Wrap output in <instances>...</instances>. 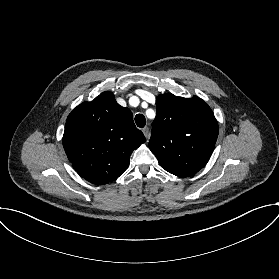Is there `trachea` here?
<instances>
[{"label": "trachea", "instance_id": "1", "mask_svg": "<svg viewBox=\"0 0 279 279\" xmlns=\"http://www.w3.org/2000/svg\"><path fill=\"white\" fill-rule=\"evenodd\" d=\"M135 122L140 128H143L146 125V119L143 114H137L135 116Z\"/></svg>", "mask_w": 279, "mask_h": 279}]
</instances>
